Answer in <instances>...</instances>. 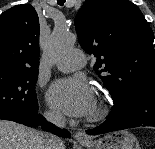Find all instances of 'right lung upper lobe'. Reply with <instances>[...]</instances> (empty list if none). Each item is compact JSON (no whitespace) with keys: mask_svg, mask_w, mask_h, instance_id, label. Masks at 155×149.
<instances>
[{"mask_svg":"<svg viewBox=\"0 0 155 149\" xmlns=\"http://www.w3.org/2000/svg\"><path fill=\"white\" fill-rule=\"evenodd\" d=\"M39 19L30 4L16 5L0 15V70L37 71Z\"/></svg>","mask_w":155,"mask_h":149,"instance_id":"1","label":"right lung upper lobe"}]
</instances>
